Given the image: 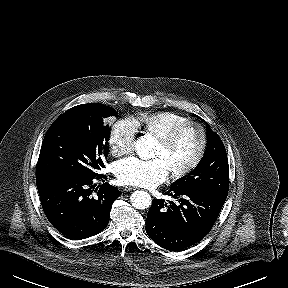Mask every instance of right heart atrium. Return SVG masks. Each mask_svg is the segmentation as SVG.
Listing matches in <instances>:
<instances>
[{
  "label": "right heart atrium",
  "mask_w": 288,
  "mask_h": 288,
  "mask_svg": "<svg viewBox=\"0 0 288 288\" xmlns=\"http://www.w3.org/2000/svg\"><path fill=\"white\" fill-rule=\"evenodd\" d=\"M137 127L132 119L117 121L111 128L109 144L114 155H124L132 151Z\"/></svg>",
  "instance_id": "1"
}]
</instances>
